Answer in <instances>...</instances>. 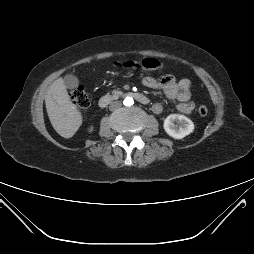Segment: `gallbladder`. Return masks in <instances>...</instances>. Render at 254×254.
Wrapping results in <instances>:
<instances>
[{
    "mask_svg": "<svg viewBox=\"0 0 254 254\" xmlns=\"http://www.w3.org/2000/svg\"><path fill=\"white\" fill-rule=\"evenodd\" d=\"M64 83L68 89H73L78 86L79 81L78 78L74 75H66L64 77Z\"/></svg>",
    "mask_w": 254,
    "mask_h": 254,
    "instance_id": "bac80fb5",
    "label": "gallbladder"
}]
</instances>
